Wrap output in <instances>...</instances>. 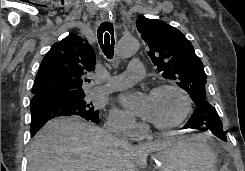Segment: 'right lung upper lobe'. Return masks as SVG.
<instances>
[{
  "label": "right lung upper lobe",
  "mask_w": 245,
  "mask_h": 171,
  "mask_svg": "<svg viewBox=\"0 0 245 171\" xmlns=\"http://www.w3.org/2000/svg\"><path fill=\"white\" fill-rule=\"evenodd\" d=\"M95 69V52L88 42L71 33L53 44L43 58L32 93L34 97L83 95L84 75Z\"/></svg>",
  "instance_id": "cb5924a9"
}]
</instances>
